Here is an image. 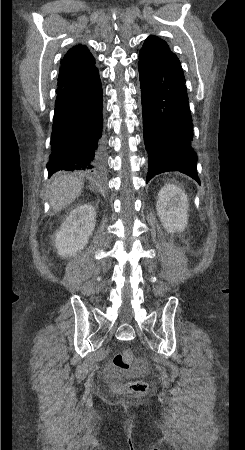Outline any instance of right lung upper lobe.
I'll return each mask as SVG.
<instances>
[{
	"label": "right lung upper lobe",
	"instance_id": "right-lung-upper-lobe-1",
	"mask_svg": "<svg viewBox=\"0 0 245 450\" xmlns=\"http://www.w3.org/2000/svg\"><path fill=\"white\" fill-rule=\"evenodd\" d=\"M94 67V57L85 46L78 45L71 48L61 60L56 92L78 80Z\"/></svg>",
	"mask_w": 245,
	"mask_h": 450
}]
</instances>
